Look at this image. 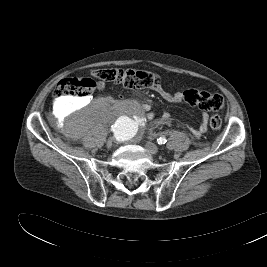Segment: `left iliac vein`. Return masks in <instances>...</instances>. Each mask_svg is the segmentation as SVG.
I'll return each instance as SVG.
<instances>
[{"label": "left iliac vein", "mask_w": 267, "mask_h": 267, "mask_svg": "<svg viewBox=\"0 0 267 267\" xmlns=\"http://www.w3.org/2000/svg\"><path fill=\"white\" fill-rule=\"evenodd\" d=\"M145 147L152 154H157L159 152V147L152 142H146Z\"/></svg>", "instance_id": "obj_1"}]
</instances>
